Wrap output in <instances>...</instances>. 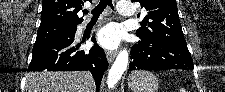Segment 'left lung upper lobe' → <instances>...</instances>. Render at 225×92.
<instances>
[{
    "mask_svg": "<svg viewBox=\"0 0 225 92\" xmlns=\"http://www.w3.org/2000/svg\"><path fill=\"white\" fill-rule=\"evenodd\" d=\"M138 1L147 11L142 28L136 35L143 40L163 42L169 40L186 44L181 29L176 0H131Z\"/></svg>",
    "mask_w": 225,
    "mask_h": 92,
    "instance_id": "obj_1",
    "label": "left lung upper lobe"
}]
</instances>
